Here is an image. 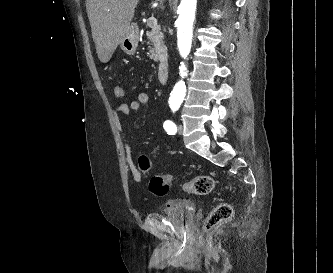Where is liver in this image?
<instances>
[{"label":"liver","mask_w":333,"mask_h":273,"mask_svg":"<svg viewBox=\"0 0 333 273\" xmlns=\"http://www.w3.org/2000/svg\"><path fill=\"white\" fill-rule=\"evenodd\" d=\"M139 0H86L98 58L107 63L130 29Z\"/></svg>","instance_id":"1"}]
</instances>
